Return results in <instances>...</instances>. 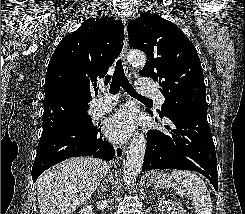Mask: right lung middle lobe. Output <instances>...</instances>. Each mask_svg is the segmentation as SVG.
Returning <instances> with one entry per match:
<instances>
[{
	"instance_id": "obj_1",
	"label": "right lung middle lobe",
	"mask_w": 245,
	"mask_h": 214,
	"mask_svg": "<svg viewBox=\"0 0 245 214\" xmlns=\"http://www.w3.org/2000/svg\"><path fill=\"white\" fill-rule=\"evenodd\" d=\"M90 121L91 117L87 114V110H84L69 122V127H80L81 125H87Z\"/></svg>"
}]
</instances>
